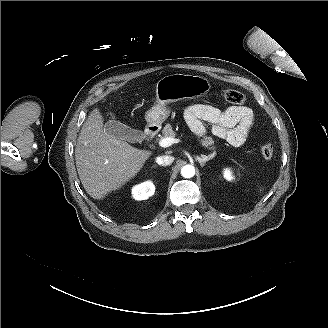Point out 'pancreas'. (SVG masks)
Wrapping results in <instances>:
<instances>
[{
    "instance_id": "1",
    "label": "pancreas",
    "mask_w": 328,
    "mask_h": 328,
    "mask_svg": "<svg viewBox=\"0 0 328 328\" xmlns=\"http://www.w3.org/2000/svg\"><path fill=\"white\" fill-rule=\"evenodd\" d=\"M167 137H171V138L175 137V132L172 130V126L170 124H166L164 126V128L162 129V135L158 138V141ZM201 144L202 146L207 147L210 150H213L212 153L213 157L216 155V152L214 151L215 147L213 146L214 140L212 139V137L204 136L203 139H201Z\"/></svg>"
}]
</instances>
